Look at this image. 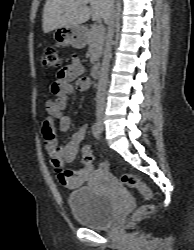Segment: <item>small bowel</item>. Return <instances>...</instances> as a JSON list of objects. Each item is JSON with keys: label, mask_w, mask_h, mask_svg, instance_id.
Returning a JSON list of instances; mask_svg holds the SVG:
<instances>
[{"label": "small bowel", "mask_w": 194, "mask_h": 250, "mask_svg": "<svg viewBox=\"0 0 194 250\" xmlns=\"http://www.w3.org/2000/svg\"><path fill=\"white\" fill-rule=\"evenodd\" d=\"M83 70L82 64L73 62L59 73V79L51 84V91L56 95V98L46 102L48 117L43 125L45 149L51 160V165L58 180L71 189L80 187L93 172L90 165H86L78 171L64 169L65 164L72 163L76 159L87 127L85 125L80 127L71 135L66 144L59 145L56 137L55 120H58L61 131L66 132L71 128V118L64 115L63 110L67 106L69 96L73 95L76 90L85 91L90 87V80L82 76Z\"/></svg>", "instance_id": "small-bowel-1"}]
</instances>
